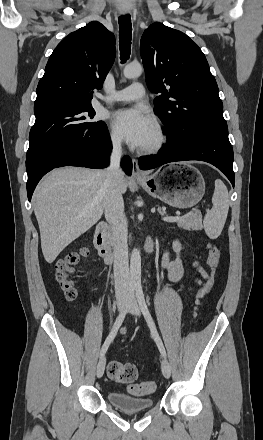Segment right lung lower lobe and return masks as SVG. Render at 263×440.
Segmentation results:
<instances>
[{
  "label": "right lung lower lobe",
  "mask_w": 263,
  "mask_h": 440,
  "mask_svg": "<svg viewBox=\"0 0 263 440\" xmlns=\"http://www.w3.org/2000/svg\"><path fill=\"white\" fill-rule=\"evenodd\" d=\"M111 149L110 136L106 127L98 134L59 140L26 158L29 201L40 179L50 170L62 166L105 168L108 166ZM122 168L126 174L131 175L132 161L128 156L122 159Z\"/></svg>",
  "instance_id": "98d812e1"
}]
</instances>
